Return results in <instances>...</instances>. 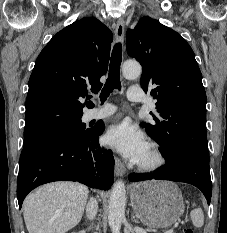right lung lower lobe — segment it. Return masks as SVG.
Listing matches in <instances>:
<instances>
[{
	"label": "right lung lower lobe",
	"instance_id": "obj_1",
	"mask_svg": "<svg viewBox=\"0 0 227 233\" xmlns=\"http://www.w3.org/2000/svg\"><path fill=\"white\" fill-rule=\"evenodd\" d=\"M103 131L104 125L84 135L52 137L24 146L17 179L19 208L31 190L53 181H78L92 188L110 189L114 158L110 150L98 144Z\"/></svg>",
	"mask_w": 227,
	"mask_h": 233
}]
</instances>
